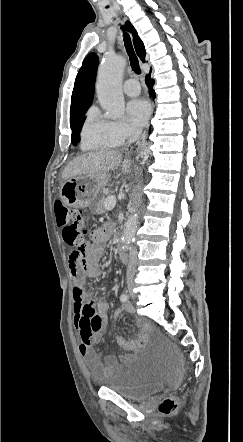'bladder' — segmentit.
I'll return each instance as SVG.
<instances>
[{
    "label": "bladder",
    "instance_id": "obj_1",
    "mask_svg": "<svg viewBox=\"0 0 243 442\" xmlns=\"http://www.w3.org/2000/svg\"><path fill=\"white\" fill-rule=\"evenodd\" d=\"M100 386L124 398L142 400L159 392L163 382L150 359L132 355L119 362Z\"/></svg>",
    "mask_w": 243,
    "mask_h": 442
}]
</instances>
